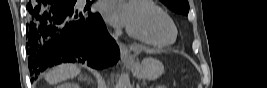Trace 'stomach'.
<instances>
[{"label":"stomach","mask_w":267,"mask_h":88,"mask_svg":"<svg viewBox=\"0 0 267 88\" xmlns=\"http://www.w3.org/2000/svg\"><path fill=\"white\" fill-rule=\"evenodd\" d=\"M126 66L135 77L144 80H155L164 73L163 64L152 57L145 58L141 62L127 63Z\"/></svg>","instance_id":"0dacf381"}]
</instances>
